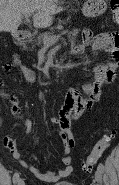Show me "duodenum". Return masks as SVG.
I'll return each mask as SVG.
<instances>
[{
    "label": "duodenum",
    "mask_w": 119,
    "mask_h": 185,
    "mask_svg": "<svg viewBox=\"0 0 119 185\" xmlns=\"http://www.w3.org/2000/svg\"><path fill=\"white\" fill-rule=\"evenodd\" d=\"M14 38L18 45H23L28 39V32L25 30H18L14 33ZM75 52L77 51L75 50Z\"/></svg>",
    "instance_id": "1"
}]
</instances>
